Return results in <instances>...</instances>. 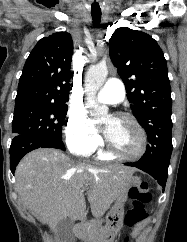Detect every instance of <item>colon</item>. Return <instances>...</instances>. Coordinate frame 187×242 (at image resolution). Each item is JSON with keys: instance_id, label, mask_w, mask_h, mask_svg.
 <instances>
[{"instance_id": "colon-1", "label": "colon", "mask_w": 187, "mask_h": 242, "mask_svg": "<svg viewBox=\"0 0 187 242\" xmlns=\"http://www.w3.org/2000/svg\"><path fill=\"white\" fill-rule=\"evenodd\" d=\"M129 195L132 202L127 210L125 223L128 227H134L146 219L145 207L150 203L152 195L146 182L131 188Z\"/></svg>"}]
</instances>
